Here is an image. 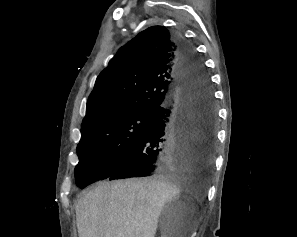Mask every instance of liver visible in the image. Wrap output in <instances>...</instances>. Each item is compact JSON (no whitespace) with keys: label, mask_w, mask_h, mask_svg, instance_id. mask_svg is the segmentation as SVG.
<instances>
[{"label":"liver","mask_w":297,"mask_h":237,"mask_svg":"<svg viewBox=\"0 0 297 237\" xmlns=\"http://www.w3.org/2000/svg\"><path fill=\"white\" fill-rule=\"evenodd\" d=\"M194 191L190 176L172 174L101 182L76 205L79 237H155L166 202Z\"/></svg>","instance_id":"1"}]
</instances>
